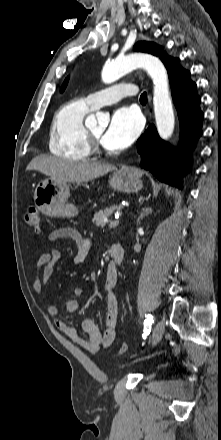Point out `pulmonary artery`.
Listing matches in <instances>:
<instances>
[{"instance_id": "obj_1", "label": "pulmonary artery", "mask_w": 221, "mask_h": 440, "mask_svg": "<svg viewBox=\"0 0 221 440\" xmlns=\"http://www.w3.org/2000/svg\"><path fill=\"white\" fill-rule=\"evenodd\" d=\"M137 88L132 83H121L88 95L85 100L93 109L115 103L127 96L136 94Z\"/></svg>"}]
</instances>
